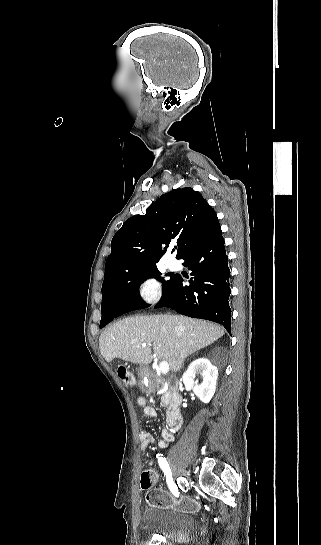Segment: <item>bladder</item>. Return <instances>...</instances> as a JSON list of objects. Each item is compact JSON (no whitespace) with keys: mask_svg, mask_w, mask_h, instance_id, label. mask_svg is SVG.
<instances>
[{"mask_svg":"<svg viewBox=\"0 0 321 545\" xmlns=\"http://www.w3.org/2000/svg\"><path fill=\"white\" fill-rule=\"evenodd\" d=\"M144 529L176 544L192 539L197 523L193 515L179 509L146 506L141 512Z\"/></svg>","mask_w":321,"mask_h":545,"instance_id":"1","label":"bladder"}]
</instances>
